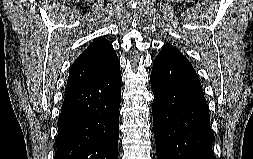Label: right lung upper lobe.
<instances>
[{
  "mask_svg": "<svg viewBox=\"0 0 253 159\" xmlns=\"http://www.w3.org/2000/svg\"><path fill=\"white\" fill-rule=\"evenodd\" d=\"M117 64L119 60L111 43L103 37L95 39L71 66L66 91L106 73Z\"/></svg>",
  "mask_w": 253,
  "mask_h": 159,
  "instance_id": "cb5924a9",
  "label": "right lung upper lobe"
}]
</instances>
